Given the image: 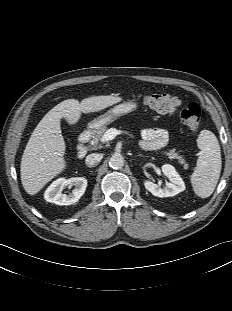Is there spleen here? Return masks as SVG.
Wrapping results in <instances>:
<instances>
[{
	"label": "spleen",
	"mask_w": 232,
	"mask_h": 311,
	"mask_svg": "<svg viewBox=\"0 0 232 311\" xmlns=\"http://www.w3.org/2000/svg\"><path fill=\"white\" fill-rule=\"evenodd\" d=\"M201 154L191 175L194 192L201 198L209 197L220 177L222 161L219 142L213 132L202 130L197 139Z\"/></svg>",
	"instance_id": "3e777b00"
}]
</instances>
